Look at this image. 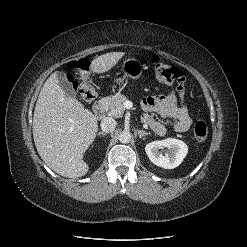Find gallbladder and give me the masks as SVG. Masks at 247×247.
<instances>
[{"label": "gallbladder", "instance_id": "obj_1", "mask_svg": "<svg viewBox=\"0 0 247 247\" xmlns=\"http://www.w3.org/2000/svg\"><path fill=\"white\" fill-rule=\"evenodd\" d=\"M57 78L59 80V86L63 89V91L71 96V97H75L76 93L72 87V84L68 81L67 76L65 73L63 72H57Z\"/></svg>", "mask_w": 247, "mask_h": 247}]
</instances>
